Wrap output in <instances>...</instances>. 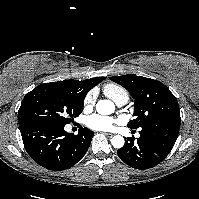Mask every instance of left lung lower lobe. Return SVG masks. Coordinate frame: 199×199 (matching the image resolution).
Segmentation results:
<instances>
[{"label": "left lung lower lobe", "instance_id": "1", "mask_svg": "<svg viewBox=\"0 0 199 199\" xmlns=\"http://www.w3.org/2000/svg\"><path fill=\"white\" fill-rule=\"evenodd\" d=\"M180 117L160 119L142 127L140 137H128L117 150L127 165L144 170L159 164L172 150L180 129Z\"/></svg>", "mask_w": 199, "mask_h": 199}]
</instances>
